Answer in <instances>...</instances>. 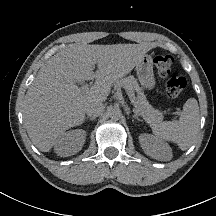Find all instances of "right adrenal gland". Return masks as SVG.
Returning <instances> with one entry per match:
<instances>
[{
	"instance_id": "2a0ac1e0",
	"label": "right adrenal gland",
	"mask_w": 216,
	"mask_h": 216,
	"mask_svg": "<svg viewBox=\"0 0 216 216\" xmlns=\"http://www.w3.org/2000/svg\"><path fill=\"white\" fill-rule=\"evenodd\" d=\"M95 119H96V117H86V120H90V121H93Z\"/></svg>"
}]
</instances>
